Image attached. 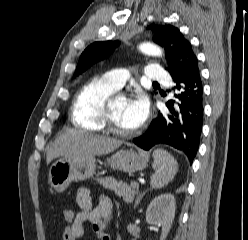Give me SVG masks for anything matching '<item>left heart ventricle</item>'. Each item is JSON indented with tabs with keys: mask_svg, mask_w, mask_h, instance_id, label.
<instances>
[{
	"mask_svg": "<svg viewBox=\"0 0 248 240\" xmlns=\"http://www.w3.org/2000/svg\"><path fill=\"white\" fill-rule=\"evenodd\" d=\"M129 105V99L125 97H117L111 103V115L114 119L116 126L121 130H133L134 127L129 123L127 119V109Z\"/></svg>",
	"mask_w": 248,
	"mask_h": 240,
	"instance_id": "left-heart-ventricle-1",
	"label": "left heart ventricle"
}]
</instances>
